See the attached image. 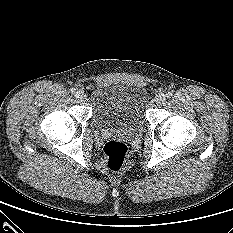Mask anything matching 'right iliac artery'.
<instances>
[{"instance_id":"82829eb1","label":"right iliac artery","mask_w":233,"mask_h":233,"mask_svg":"<svg viewBox=\"0 0 233 233\" xmlns=\"http://www.w3.org/2000/svg\"><path fill=\"white\" fill-rule=\"evenodd\" d=\"M70 92H71V94H75L76 89H75V88H71V89H70Z\"/></svg>"}]
</instances>
